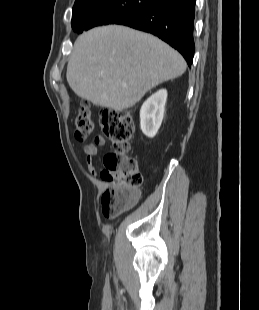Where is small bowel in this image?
I'll use <instances>...</instances> for the list:
<instances>
[{
  "instance_id": "obj_1",
  "label": "small bowel",
  "mask_w": 259,
  "mask_h": 310,
  "mask_svg": "<svg viewBox=\"0 0 259 310\" xmlns=\"http://www.w3.org/2000/svg\"><path fill=\"white\" fill-rule=\"evenodd\" d=\"M106 144V140L102 136H96L94 143L88 144L84 147L83 152L87 164V169L90 175L96 176L97 170L94 164V157L98 153V148Z\"/></svg>"
}]
</instances>
